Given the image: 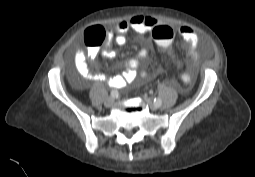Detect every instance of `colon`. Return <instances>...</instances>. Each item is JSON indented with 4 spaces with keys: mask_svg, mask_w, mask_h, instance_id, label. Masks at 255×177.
<instances>
[{
    "mask_svg": "<svg viewBox=\"0 0 255 177\" xmlns=\"http://www.w3.org/2000/svg\"><path fill=\"white\" fill-rule=\"evenodd\" d=\"M107 37V33L102 27L89 28L85 33V41L89 46H99ZM153 38L159 44L160 50L164 57L168 60L169 64L176 70L181 78L182 84H189L194 81V74L188 72L185 66L184 58L178 53L177 49L173 46L172 41L174 38V30L166 25L157 26L153 30Z\"/></svg>",
    "mask_w": 255,
    "mask_h": 177,
    "instance_id": "5ec220e1",
    "label": "colon"
}]
</instances>
